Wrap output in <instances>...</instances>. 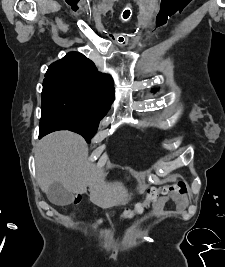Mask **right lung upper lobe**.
<instances>
[{
	"mask_svg": "<svg viewBox=\"0 0 225 267\" xmlns=\"http://www.w3.org/2000/svg\"><path fill=\"white\" fill-rule=\"evenodd\" d=\"M62 82L87 90L92 97L110 108L114 83L110 75L99 72L95 64L78 52H70L51 64L43 83Z\"/></svg>",
	"mask_w": 225,
	"mask_h": 267,
	"instance_id": "obj_1",
	"label": "right lung upper lobe"
}]
</instances>
